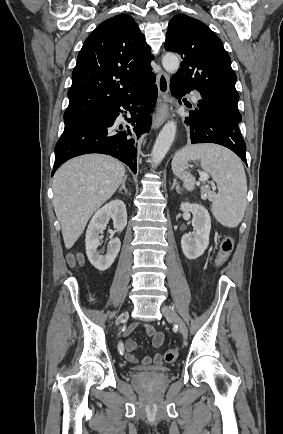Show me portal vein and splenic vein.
Masks as SVG:
<instances>
[{
  "mask_svg": "<svg viewBox=\"0 0 283 434\" xmlns=\"http://www.w3.org/2000/svg\"><path fill=\"white\" fill-rule=\"evenodd\" d=\"M208 178H209V176H208L207 174H205V173H200V179H201V180L207 181Z\"/></svg>",
  "mask_w": 283,
  "mask_h": 434,
  "instance_id": "portal-vein-and-splenic-vein-1",
  "label": "portal vein and splenic vein"
}]
</instances>
